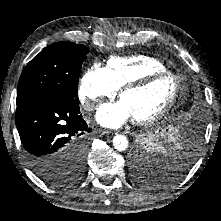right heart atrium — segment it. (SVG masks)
Segmentation results:
<instances>
[{
	"mask_svg": "<svg viewBox=\"0 0 221 221\" xmlns=\"http://www.w3.org/2000/svg\"><path fill=\"white\" fill-rule=\"evenodd\" d=\"M117 88L109 78L106 68L94 64L88 68L81 77L78 97L82 106L88 110H94L102 99L113 98Z\"/></svg>",
	"mask_w": 221,
	"mask_h": 221,
	"instance_id": "right-heart-atrium-1",
	"label": "right heart atrium"
}]
</instances>
